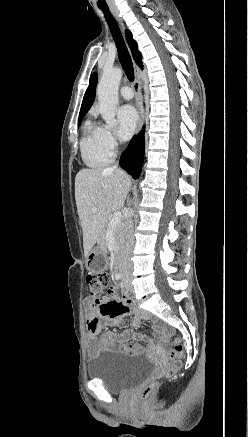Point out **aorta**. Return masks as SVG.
<instances>
[{
	"label": "aorta",
	"instance_id": "1",
	"mask_svg": "<svg viewBox=\"0 0 248 437\" xmlns=\"http://www.w3.org/2000/svg\"><path fill=\"white\" fill-rule=\"evenodd\" d=\"M121 78V69H107L104 70L97 86L99 112L106 124L111 127L116 125L115 114L118 104V88Z\"/></svg>",
	"mask_w": 248,
	"mask_h": 437
}]
</instances>
